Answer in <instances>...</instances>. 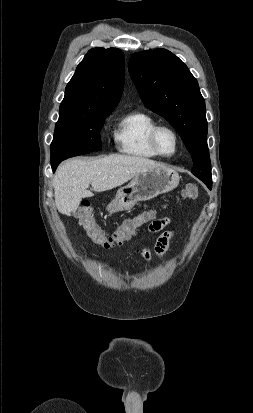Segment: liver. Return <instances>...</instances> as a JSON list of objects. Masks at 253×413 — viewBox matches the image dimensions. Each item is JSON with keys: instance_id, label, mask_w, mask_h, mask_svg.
<instances>
[{"instance_id": "liver-1", "label": "liver", "mask_w": 253, "mask_h": 413, "mask_svg": "<svg viewBox=\"0 0 253 413\" xmlns=\"http://www.w3.org/2000/svg\"><path fill=\"white\" fill-rule=\"evenodd\" d=\"M167 168L156 161L137 156L111 155L92 160L72 159L63 163L53 178L55 204L65 215L74 213L83 198L95 192L123 185L137 174Z\"/></svg>"}]
</instances>
